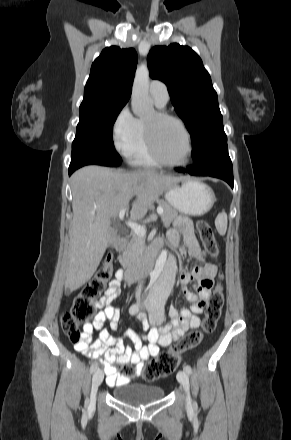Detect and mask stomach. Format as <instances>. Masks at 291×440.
<instances>
[{"label":"stomach","instance_id":"1","mask_svg":"<svg viewBox=\"0 0 291 440\" xmlns=\"http://www.w3.org/2000/svg\"><path fill=\"white\" fill-rule=\"evenodd\" d=\"M167 202L180 213L201 216L214 205L216 197L208 185L192 179H181L165 192Z\"/></svg>","mask_w":291,"mask_h":440}]
</instances>
